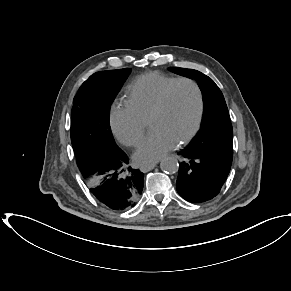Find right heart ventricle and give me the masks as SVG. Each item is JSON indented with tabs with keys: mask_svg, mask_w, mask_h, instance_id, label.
I'll return each mask as SVG.
<instances>
[{
	"mask_svg": "<svg viewBox=\"0 0 291 291\" xmlns=\"http://www.w3.org/2000/svg\"><path fill=\"white\" fill-rule=\"evenodd\" d=\"M175 79L173 76L158 72L143 74L131 84L126 103L143 121L147 122L163 90Z\"/></svg>",
	"mask_w": 291,
	"mask_h": 291,
	"instance_id": "1",
	"label": "right heart ventricle"
}]
</instances>
